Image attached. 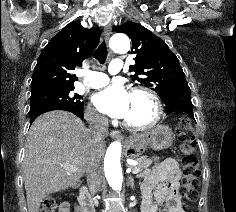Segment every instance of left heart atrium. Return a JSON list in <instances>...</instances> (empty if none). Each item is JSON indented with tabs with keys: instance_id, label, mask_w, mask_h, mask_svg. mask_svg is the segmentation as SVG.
Segmentation results:
<instances>
[{
	"instance_id": "left-heart-atrium-1",
	"label": "left heart atrium",
	"mask_w": 236,
	"mask_h": 212,
	"mask_svg": "<svg viewBox=\"0 0 236 212\" xmlns=\"http://www.w3.org/2000/svg\"><path fill=\"white\" fill-rule=\"evenodd\" d=\"M93 101L102 113L114 118H125L129 111L130 94L123 85L113 84L98 92Z\"/></svg>"
}]
</instances>
